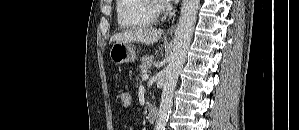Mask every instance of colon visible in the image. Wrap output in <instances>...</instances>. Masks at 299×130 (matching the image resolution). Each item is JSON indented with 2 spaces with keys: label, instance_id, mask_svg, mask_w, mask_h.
<instances>
[{
  "label": "colon",
  "instance_id": "obj_1",
  "mask_svg": "<svg viewBox=\"0 0 299 130\" xmlns=\"http://www.w3.org/2000/svg\"><path fill=\"white\" fill-rule=\"evenodd\" d=\"M119 99H120V103L122 106L128 107V106H130V104L132 102V94L130 91L125 90V91L121 92Z\"/></svg>",
  "mask_w": 299,
  "mask_h": 130
}]
</instances>
